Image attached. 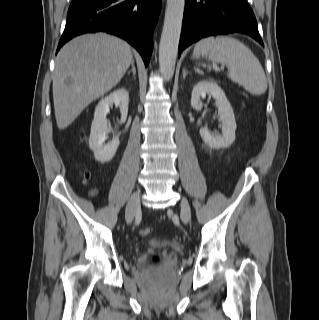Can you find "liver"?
Segmentation results:
<instances>
[{
    "label": "liver",
    "mask_w": 319,
    "mask_h": 320,
    "mask_svg": "<svg viewBox=\"0 0 319 320\" xmlns=\"http://www.w3.org/2000/svg\"><path fill=\"white\" fill-rule=\"evenodd\" d=\"M131 62L130 45L106 33L81 35L65 44L53 76L58 128H67L92 101L114 88Z\"/></svg>",
    "instance_id": "1"
}]
</instances>
